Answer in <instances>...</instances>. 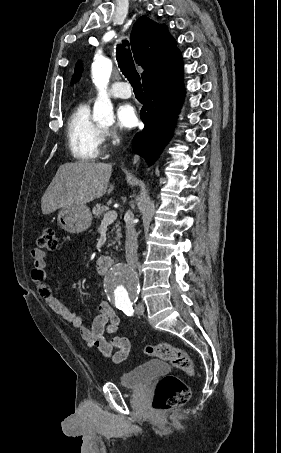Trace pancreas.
Returning a JSON list of instances; mask_svg holds the SVG:
<instances>
[{"mask_svg": "<svg viewBox=\"0 0 281 453\" xmlns=\"http://www.w3.org/2000/svg\"><path fill=\"white\" fill-rule=\"evenodd\" d=\"M109 210V206H105V204H99V202H97L96 206H93L92 208V212L93 214H95V218L96 216H101V214H106V212H108ZM119 224L120 222H117V224H115V227H113V229H116V233H117V237L115 239V241H118V239H120V237H122L121 235V227H119ZM111 233H113V231H111ZM111 245H113V243H108V247H111Z\"/></svg>", "mask_w": 281, "mask_h": 453, "instance_id": "1", "label": "pancreas"}]
</instances>
